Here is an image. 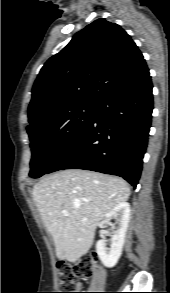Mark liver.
<instances>
[{"label":"liver","mask_w":170,"mask_h":293,"mask_svg":"<svg viewBox=\"0 0 170 293\" xmlns=\"http://www.w3.org/2000/svg\"><path fill=\"white\" fill-rule=\"evenodd\" d=\"M32 194L58 258L75 262L92 246L98 223L128 200L130 188L118 177L67 169L42 178Z\"/></svg>","instance_id":"obj_1"}]
</instances>
